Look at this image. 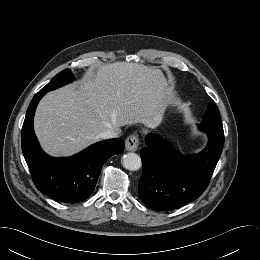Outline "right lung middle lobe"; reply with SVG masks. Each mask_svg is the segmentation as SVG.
I'll return each mask as SVG.
<instances>
[{
    "instance_id": "dd1d6c3e",
    "label": "right lung middle lobe",
    "mask_w": 260,
    "mask_h": 260,
    "mask_svg": "<svg viewBox=\"0 0 260 260\" xmlns=\"http://www.w3.org/2000/svg\"><path fill=\"white\" fill-rule=\"evenodd\" d=\"M73 80L72 72L69 69H65L58 73L52 80L41 89V91L48 92L56 89L62 85H65Z\"/></svg>"
}]
</instances>
